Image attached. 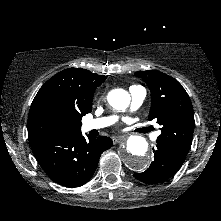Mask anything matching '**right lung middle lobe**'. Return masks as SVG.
Instances as JSON below:
<instances>
[{
	"instance_id": "right-lung-middle-lobe-1",
	"label": "right lung middle lobe",
	"mask_w": 221,
	"mask_h": 221,
	"mask_svg": "<svg viewBox=\"0 0 221 221\" xmlns=\"http://www.w3.org/2000/svg\"><path fill=\"white\" fill-rule=\"evenodd\" d=\"M67 133L68 131L59 118L50 117L44 126L37 131L36 134L37 137L42 140L58 137Z\"/></svg>"
}]
</instances>
